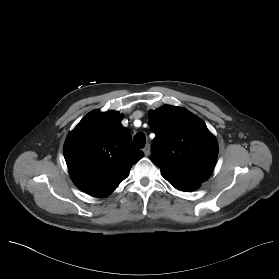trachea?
Wrapping results in <instances>:
<instances>
[{"label": "trachea", "instance_id": "obj_1", "mask_svg": "<svg viewBox=\"0 0 279 279\" xmlns=\"http://www.w3.org/2000/svg\"><path fill=\"white\" fill-rule=\"evenodd\" d=\"M145 143H146V138L144 133L139 132L135 134L133 138L134 146H136L137 148H143L145 146Z\"/></svg>", "mask_w": 279, "mask_h": 279}]
</instances>
